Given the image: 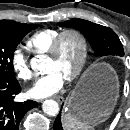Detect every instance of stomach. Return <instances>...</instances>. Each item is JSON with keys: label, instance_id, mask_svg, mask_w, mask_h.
Instances as JSON below:
<instances>
[{"label": "stomach", "instance_id": "0dacf381", "mask_svg": "<svg viewBox=\"0 0 130 130\" xmlns=\"http://www.w3.org/2000/svg\"><path fill=\"white\" fill-rule=\"evenodd\" d=\"M90 75L106 77L107 82L100 84L89 95H84L82 85ZM119 97L118 77L112 67L98 65L79 83L78 87L67 99V114L88 125H96L105 121L112 113Z\"/></svg>", "mask_w": 130, "mask_h": 130}]
</instances>
